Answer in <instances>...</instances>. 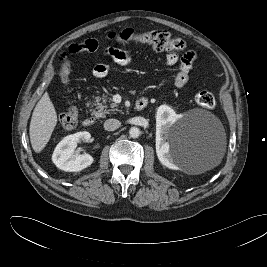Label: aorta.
Listing matches in <instances>:
<instances>
[{
  "label": "aorta",
  "mask_w": 267,
  "mask_h": 267,
  "mask_svg": "<svg viewBox=\"0 0 267 267\" xmlns=\"http://www.w3.org/2000/svg\"><path fill=\"white\" fill-rule=\"evenodd\" d=\"M140 134H141L140 129L137 127H131L129 130V135L131 138H138Z\"/></svg>",
  "instance_id": "obj_1"
}]
</instances>
